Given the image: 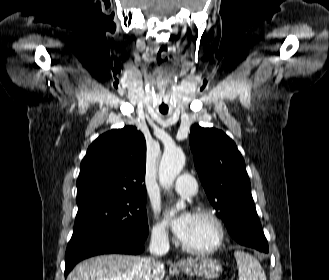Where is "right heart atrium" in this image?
Wrapping results in <instances>:
<instances>
[{
    "label": "right heart atrium",
    "instance_id": "right-heart-atrium-1",
    "mask_svg": "<svg viewBox=\"0 0 329 280\" xmlns=\"http://www.w3.org/2000/svg\"><path fill=\"white\" fill-rule=\"evenodd\" d=\"M152 238L157 243H166L168 242V230L164 223L160 221H155L152 230H151Z\"/></svg>",
    "mask_w": 329,
    "mask_h": 280
}]
</instances>
